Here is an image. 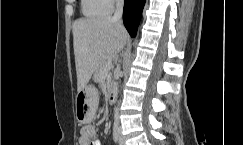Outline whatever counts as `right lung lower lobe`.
<instances>
[{"mask_svg": "<svg viewBox=\"0 0 243 145\" xmlns=\"http://www.w3.org/2000/svg\"><path fill=\"white\" fill-rule=\"evenodd\" d=\"M145 0H125L123 10V22L129 32L134 37L140 21Z\"/></svg>", "mask_w": 243, "mask_h": 145, "instance_id": "1", "label": "right lung lower lobe"}]
</instances>
